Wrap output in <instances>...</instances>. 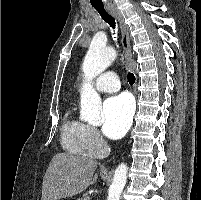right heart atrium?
I'll return each mask as SVG.
<instances>
[{
    "label": "right heart atrium",
    "instance_id": "1",
    "mask_svg": "<svg viewBox=\"0 0 201 200\" xmlns=\"http://www.w3.org/2000/svg\"><path fill=\"white\" fill-rule=\"evenodd\" d=\"M85 139L87 149L93 155L101 154L106 148V142L94 126L86 125Z\"/></svg>",
    "mask_w": 201,
    "mask_h": 200
}]
</instances>
